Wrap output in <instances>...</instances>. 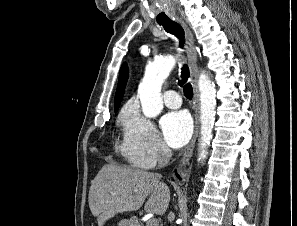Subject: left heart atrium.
<instances>
[{"label":"left heart atrium","instance_id":"left-heart-atrium-1","mask_svg":"<svg viewBox=\"0 0 297 226\" xmlns=\"http://www.w3.org/2000/svg\"><path fill=\"white\" fill-rule=\"evenodd\" d=\"M166 143L173 148L184 146L192 134V121L184 111L170 112L160 121Z\"/></svg>","mask_w":297,"mask_h":226}]
</instances>
